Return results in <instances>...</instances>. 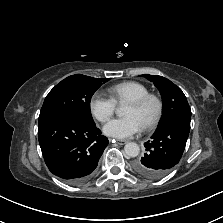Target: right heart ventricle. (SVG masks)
<instances>
[{
	"mask_svg": "<svg viewBox=\"0 0 223 223\" xmlns=\"http://www.w3.org/2000/svg\"><path fill=\"white\" fill-rule=\"evenodd\" d=\"M108 92L116 104H121L149 93V89L137 81H124L109 87Z\"/></svg>",
	"mask_w": 223,
	"mask_h": 223,
	"instance_id": "1",
	"label": "right heart ventricle"
}]
</instances>
